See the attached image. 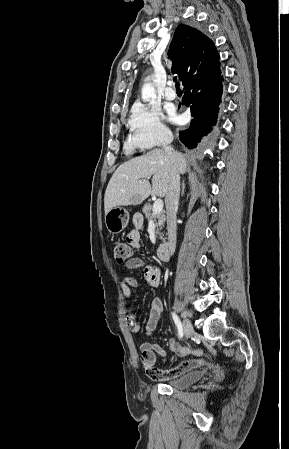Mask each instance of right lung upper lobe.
Wrapping results in <instances>:
<instances>
[{
  "instance_id": "right-lung-upper-lobe-1",
  "label": "right lung upper lobe",
  "mask_w": 289,
  "mask_h": 449,
  "mask_svg": "<svg viewBox=\"0 0 289 449\" xmlns=\"http://www.w3.org/2000/svg\"><path fill=\"white\" fill-rule=\"evenodd\" d=\"M168 58L173 62L171 71L179 75L183 85L205 76L220 59L213 41L187 25L177 27Z\"/></svg>"
}]
</instances>
